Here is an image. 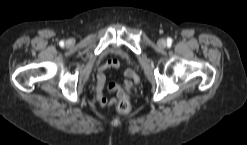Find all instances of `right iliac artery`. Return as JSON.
Listing matches in <instances>:
<instances>
[{
  "label": "right iliac artery",
  "mask_w": 247,
  "mask_h": 145,
  "mask_svg": "<svg viewBox=\"0 0 247 145\" xmlns=\"http://www.w3.org/2000/svg\"><path fill=\"white\" fill-rule=\"evenodd\" d=\"M60 45H61V46H64V42H63V41H61V42H60Z\"/></svg>",
  "instance_id": "82829eb1"
}]
</instances>
